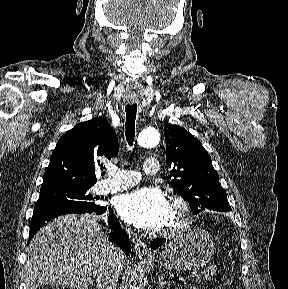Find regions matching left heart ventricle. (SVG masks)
Returning <instances> with one entry per match:
<instances>
[{"label":"left heart ventricle","instance_id":"1","mask_svg":"<svg viewBox=\"0 0 288 289\" xmlns=\"http://www.w3.org/2000/svg\"><path fill=\"white\" fill-rule=\"evenodd\" d=\"M179 212L178 210H176L174 207L170 206V216H169V220H168V224H172L176 221H178L179 219Z\"/></svg>","mask_w":288,"mask_h":289}]
</instances>
